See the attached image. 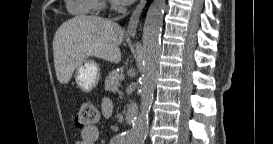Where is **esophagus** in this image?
<instances>
[{
	"label": "esophagus",
	"instance_id": "1",
	"mask_svg": "<svg viewBox=\"0 0 273 144\" xmlns=\"http://www.w3.org/2000/svg\"><path fill=\"white\" fill-rule=\"evenodd\" d=\"M146 5V0H141L139 4L136 6V8L133 10L129 23H128V28L127 32L129 35L134 36L136 34V30L139 24L140 16L141 13Z\"/></svg>",
	"mask_w": 273,
	"mask_h": 144
}]
</instances>
